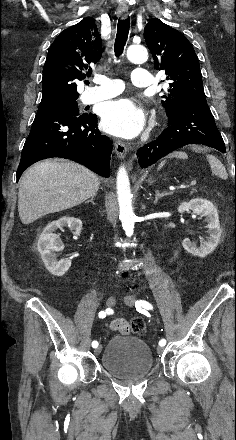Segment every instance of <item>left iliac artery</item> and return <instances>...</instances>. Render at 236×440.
Returning <instances> with one entry per match:
<instances>
[{"mask_svg": "<svg viewBox=\"0 0 236 440\" xmlns=\"http://www.w3.org/2000/svg\"><path fill=\"white\" fill-rule=\"evenodd\" d=\"M135 307H136L137 311H139V312H141L142 314H145V315H147V312H146L145 309H148V310H152L153 309V306L149 302H147L145 300H137L135 302ZM159 345L160 346H165L166 345V340L165 339H161L159 341Z\"/></svg>", "mask_w": 236, "mask_h": 440, "instance_id": "left-iliac-artery-1", "label": "left iliac artery"}]
</instances>
